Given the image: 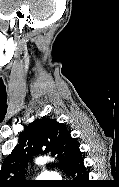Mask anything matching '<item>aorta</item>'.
I'll return each instance as SVG.
<instances>
[{
    "mask_svg": "<svg viewBox=\"0 0 119 187\" xmlns=\"http://www.w3.org/2000/svg\"><path fill=\"white\" fill-rule=\"evenodd\" d=\"M48 161H50V158L49 157H39L36 159V164H40V165H43L45 163H47Z\"/></svg>",
    "mask_w": 119,
    "mask_h": 187,
    "instance_id": "aorta-1",
    "label": "aorta"
}]
</instances>
